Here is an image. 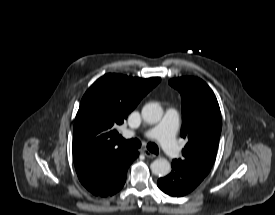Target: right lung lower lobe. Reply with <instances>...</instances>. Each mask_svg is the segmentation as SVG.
<instances>
[{
	"instance_id": "1",
	"label": "right lung lower lobe",
	"mask_w": 275,
	"mask_h": 215,
	"mask_svg": "<svg viewBox=\"0 0 275 215\" xmlns=\"http://www.w3.org/2000/svg\"><path fill=\"white\" fill-rule=\"evenodd\" d=\"M136 150L100 158L78 172L82 185L96 196L106 197L117 193L124 185L127 170L138 157Z\"/></svg>"
}]
</instances>
